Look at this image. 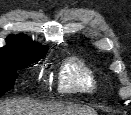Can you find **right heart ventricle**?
I'll use <instances>...</instances> for the list:
<instances>
[{"mask_svg": "<svg viewBox=\"0 0 131 115\" xmlns=\"http://www.w3.org/2000/svg\"><path fill=\"white\" fill-rule=\"evenodd\" d=\"M58 89L60 93L69 95L94 94L100 89V80L91 66L71 56L60 67Z\"/></svg>", "mask_w": 131, "mask_h": 115, "instance_id": "obj_1", "label": "right heart ventricle"}]
</instances>
